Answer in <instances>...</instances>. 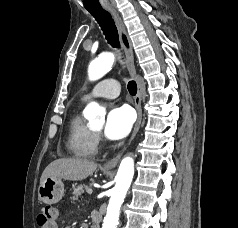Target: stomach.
<instances>
[{
	"label": "stomach",
	"mask_w": 238,
	"mask_h": 228,
	"mask_svg": "<svg viewBox=\"0 0 238 228\" xmlns=\"http://www.w3.org/2000/svg\"><path fill=\"white\" fill-rule=\"evenodd\" d=\"M64 195V184L59 178H46L38 189L39 199L46 204L59 202Z\"/></svg>",
	"instance_id": "stomach-1"
}]
</instances>
